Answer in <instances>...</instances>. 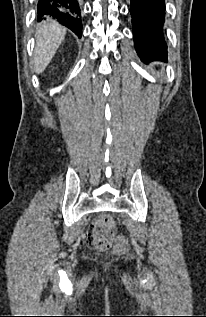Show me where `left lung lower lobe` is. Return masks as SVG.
Returning <instances> with one entry per match:
<instances>
[{
	"instance_id": "left-lung-lower-lobe-1",
	"label": "left lung lower lobe",
	"mask_w": 206,
	"mask_h": 317,
	"mask_svg": "<svg viewBox=\"0 0 206 317\" xmlns=\"http://www.w3.org/2000/svg\"><path fill=\"white\" fill-rule=\"evenodd\" d=\"M135 49L142 61H167L163 35L165 0H131Z\"/></svg>"
}]
</instances>
